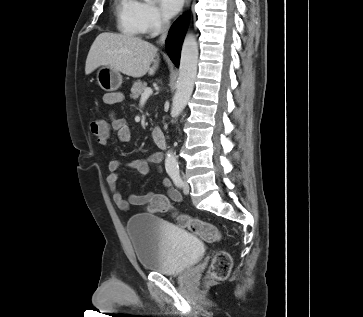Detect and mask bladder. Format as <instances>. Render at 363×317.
<instances>
[{"mask_svg":"<svg viewBox=\"0 0 363 317\" xmlns=\"http://www.w3.org/2000/svg\"><path fill=\"white\" fill-rule=\"evenodd\" d=\"M127 233L139 265L146 270L181 274L204 254V242L200 237L150 214L131 217Z\"/></svg>","mask_w":363,"mask_h":317,"instance_id":"obj_1","label":"bladder"}]
</instances>
